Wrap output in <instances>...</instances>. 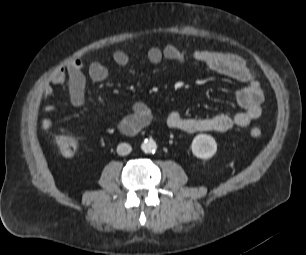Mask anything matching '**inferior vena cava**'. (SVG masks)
Listing matches in <instances>:
<instances>
[{"mask_svg":"<svg viewBox=\"0 0 306 255\" xmlns=\"http://www.w3.org/2000/svg\"><path fill=\"white\" fill-rule=\"evenodd\" d=\"M132 150V147L127 143H121L117 146V153L119 155H128Z\"/></svg>","mask_w":306,"mask_h":255,"instance_id":"obj_1","label":"inferior vena cava"}]
</instances>
